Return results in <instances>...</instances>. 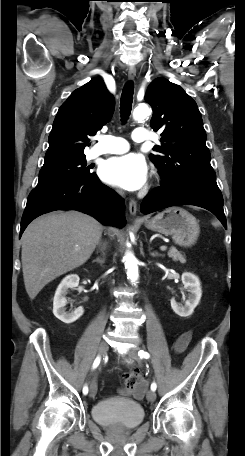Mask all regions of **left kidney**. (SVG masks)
<instances>
[{
	"label": "left kidney",
	"mask_w": 245,
	"mask_h": 456,
	"mask_svg": "<svg viewBox=\"0 0 245 456\" xmlns=\"http://www.w3.org/2000/svg\"><path fill=\"white\" fill-rule=\"evenodd\" d=\"M182 282L184 289L188 292V299L183 306L173 298L171 299V307L180 317H188L200 302L202 296L201 284L199 278L192 273H183Z\"/></svg>",
	"instance_id": "left-kidney-1"
}]
</instances>
